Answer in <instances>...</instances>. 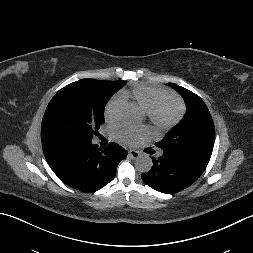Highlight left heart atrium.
<instances>
[{
    "label": "left heart atrium",
    "instance_id": "left-heart-atrium-1",
    "mask_svg": "<svg viewBox=\"0 0 253 253\" xmlns=\"http://www.w3.org/2000/svg\"><path fill=\"white\" fill-rule=\"evenodd\" d=\"M149 134L148 130L145 128L133 129L130 127H121L116 130L117 138L127 144H133L139 138L145 137Z\"/></svg>",
    "mask_w": 253,
    "mask_h": 253
}]
</instances>
